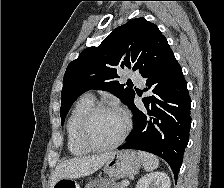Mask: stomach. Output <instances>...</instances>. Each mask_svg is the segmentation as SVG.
Instances as JSON below:
<instances>
[{"label":"stomach","instance_id":"obj_1","mask_svg":"<svg viewBox=\"0 0 224 188\" xmlns=\"http://www.w3.org/2000/svg\"><path fill=\"white\" fill-rule=\"evenodd\" d=\"M142 160L135 151H114L104 165V172L115 178H124L138 173ZM53 188H80L71 178L58 180Z\"/></svg>","mask_w":224,"mask_h":188}]
</instances>
